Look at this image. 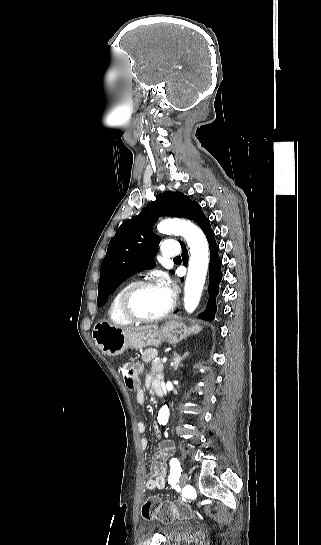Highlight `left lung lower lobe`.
<instances>
[{
  "instance_id": "1",
  "label": "left lung lower lobe",
  "mask_w": 321,
  "mask_h": 545,
  "mask_svg": "<svg viewBox=\"0 0 321 545\" xmlns=\"http://www.w3.org/2000/svg\"><path fill=\"white\" fill-rule=\"evenodd\" d=\"M190 220L195 221L204 231L207 236L210 246V281H209V300L207 311L200 317L205 320H213L216 312L215 297L218 294L219 283L222 279L221 265L222 261L218 256L219 246L215 242L214 232L211 229L209 219L204 215L201 207L194 212ZM182 246V259L183 264L186 266L188 262V252L183 242H180ZM183 281V278H181Z\"/></svg>"
}]
</instances>
